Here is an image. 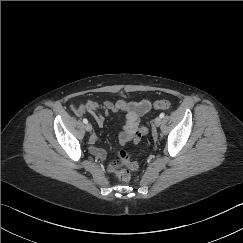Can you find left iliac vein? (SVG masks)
<instances>
[{"instance_id": "1", "label": "left iliac vein", "mask_w": 243, "mask_h": 243, "mask_svg": "<svg viewBox=\"0 0 243 243\" xmlns=\"http://www.w3.org/2000/svg\"><path fill=\"white\" fill-rule=\"evenodd\" d=\"M161 122H162L161 118H160V117H157V118H155V120H154V125H155L156 127H159V126L161 125Z\"/></svg>"}]
</instances>
